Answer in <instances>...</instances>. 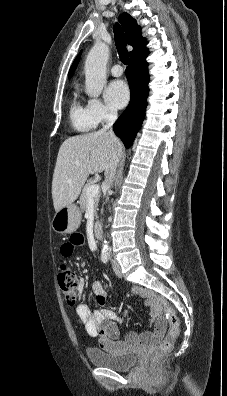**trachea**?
Instances as JSON below:
<instances>
[{
    "instance_id": "obj_1",
    "label": "trachea",
    "mask_w": 227,
    "mask_h": 396,
    "mask_svg": "<svg viewBox=\"0 0 227 396\" xmlns=\"http://www.w3.org/2000/svg\"><path fill=\"white\" fill-rule=\"evenodd\" d=\"M114 39L120 60L123 64L127 65L129 62V54L126 49V38L123 29L119 24H116L114 27Z\"/></svg>"
}]
</instances>
